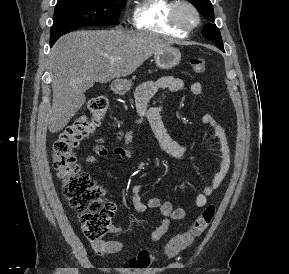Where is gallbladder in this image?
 Segmentation results:
<instances>
[{
  "mask_svg": "<svg viewBox=\"0 0 289 274\" xmlns=\"http://www.w3.org/2000/svg\"><path fill=\"white\" fill-rule=\"evenodd\" d=\"M93 86V84H90V83H85L84 84V88L85 89H88V88H90V87H92Z\"/></svg>",
  "mask_w": 289,
  "mask_h": 274,
  "instance_id": "1",
  "label": "gallbladder"
}]
</instances>
